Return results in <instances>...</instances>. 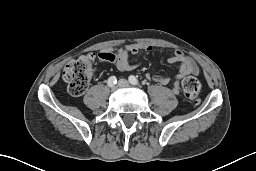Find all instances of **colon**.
Wrapping results in <instances>:
<instances>
[{"label": "colon", "mask_w": 256, "mask_h": 171, "mask_svg": "<svg viewBox=\"0 0 256 171\" xmlns=\"http://www.w3.org/2000/svg\"><path fill=\"white\" fill-rule=\"evenodd\" d=\"M97 56L85 54L78 59L69 62L63 70V80L68 85V92L71 96H80L86 89L93 74ZM182 88L186 98L193 104L199 103V93L201 83L195 77H187L182 83Z\"/></svg>", "instance_id": "obj_1"}]
</instances>
